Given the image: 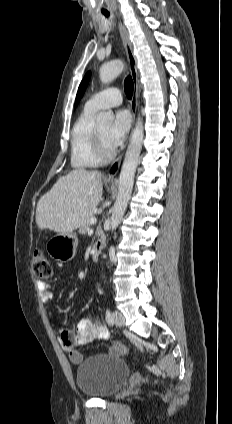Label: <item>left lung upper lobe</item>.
<instances>
[{"label": "left lung upper lobe", "mask_w": 232, "mask_h": 424, "mask_svg": "<svg viewBox=\"0 0 232 424\" xmlns=\"http://www.w3.org/2000/svg\"><path fill=\"white\" fill-rule=\"evenodd\" d=\"M89 79H90V72H88L85 76H84V78H83V80H82V82H81V84H80V86H79V89H78V92H77V96H76V104L78 103V101L81 99V97L83 96V94H84V91H85V89H86V87H87V84H88V82H89Z\"/></svg>", "instance_id": "5c2ea615"}]
</instances>
